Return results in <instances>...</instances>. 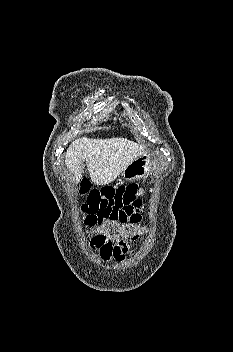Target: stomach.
Instances as JSON below:
<instances>
[{"mask_svg": "<svg viewBox=\"0 0 233 352\" xmlns=\"http://www.w3.org/2000/svg\"><path fill=\"white\" fill-rule=\"evenodd\" d=\"M156 168V156L153 151H145L132 161L123 171L122 176L128 181H135L149 176Z\"/></svg>", "mask_w": 233, "mask_h": 352, "instance_id": "obj_1", "label": "stomach"}]
</instances>
